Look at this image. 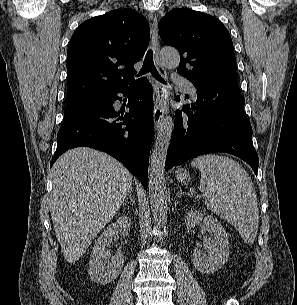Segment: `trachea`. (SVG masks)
<instances>
[{"label": "trachea", "mask_w": 297, "mask_h": 305, "mask_svg": "<svg viewBox=\"0 0 297 305\" xmlns=\"http://www.w3.org/2000/svg\"><path fill=\"white\" fill-rule=\"evenodd\" d=\"M148 72H151L153 77L156 78L159 82L165 83L164 79L159 75L158 71L154 66L152 50L148 51L142 69L139 72V75L146 74Z\"/></svg>", "instance_id": "trachea-1"}]
</instances>
